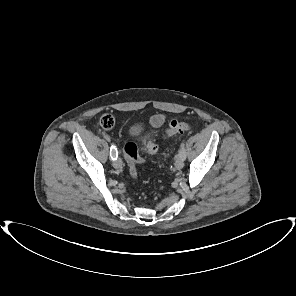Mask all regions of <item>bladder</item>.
Wrapping results in <instances>:
<instances>
[{
  "label": "bladder",
  "instance_id": "1",
  "mask_svg": "<svg viewBox=\"0 0 296 296\" xmlns=\"http://www.w3.org/2000/svg\"><path fill=\"white\" fill-rule=\"evenodd\" d=\"M139 132H140V128L137 125L132 126L130 129V133L132 135H137V134H139Z\"/></svg>",
  "mask_w": 296,
  "mask_h": 296
}]
</instances>
